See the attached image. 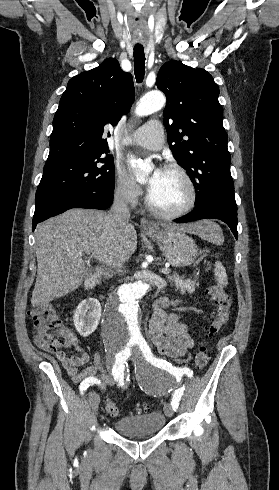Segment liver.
<instances>
[{
    "instance_id": "obj_1",
    "label": "liver",
    "mask_w": 279,
    "mask_h": 490,
    "mask_svg": "<svg viewBox=\"0 0 279 490\" xmlns=\"http://www.w3.org/2000/svg\"><path fill=\"white\" fill-rule=\"evenodd\" d=\"M165 228H178L201 236L202 222ZM35 238L38 270L32 306L49 304L55 298L77 290L86 276L85 254L92 258L107 256L113 264H123L130 260L137 248V234L132 224L117 226L107 212L80 208L38 224ZM105 270V274L101 272L104 276L109 268Z\"/></svg>"
}]
</instances>
